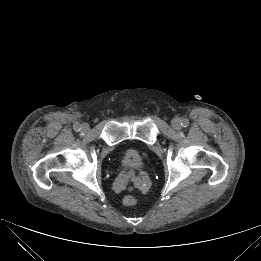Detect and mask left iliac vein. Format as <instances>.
Instances as JSON below:
<instances>
[{
    "mask_svg": "<svg viewBox=\"0 0 261 261\" xmlns=\"http://www.w3.org/2000/svg\"><path fill=\"white\" fill-rule=\"evenodd\" d=\"M173 129L180 130L181 129V121L178 118H174L171 122Z\"/></svg>",
    "mask_w": 261,
    "mask_h": 261,
    "instance_id": "4c4485c4",
    "label": "left iliac vein"
}]
</instances>
